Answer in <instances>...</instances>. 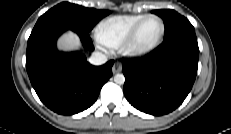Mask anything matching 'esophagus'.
<instances>
[{
  "label": "esophagus",
  "instance_id": "obj_1",
  "mask_svg": "<svg viewBox=\"0 0 231 134\" xmlns=\"http://www.w3.org/2000/svg\"><path fill=\"white\" fill-rule=\"evenodd\" d=\"M122 70V65L120 62H115L113 67H112V72L115 73H119Z\"/></svg>",
  "mask_w": 231,
  "mask_h": 134
}]
</instances>
